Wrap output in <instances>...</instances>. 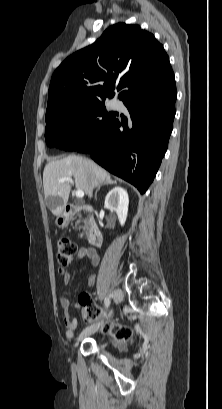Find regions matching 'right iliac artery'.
Segmentation results:
<instances>
[{
	"mask_svg": "<svg viewBox=\"0 0 222 409\" xmlns=\"http://www.w3.org/2000/svg\"><path fill=\"white\" fill-rule=\"evenodd\" d=\"M111 296H112V295H109L108 297L105 298L104 303H105V307H106V308H108L109 305H110V298H111Z\"/></svg>",
	"mask_w": 222,
	"mask_h": 409,
	"instance_id": "82829eb1",
	"label": "right iliac artery"
}]
</instances>
